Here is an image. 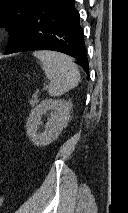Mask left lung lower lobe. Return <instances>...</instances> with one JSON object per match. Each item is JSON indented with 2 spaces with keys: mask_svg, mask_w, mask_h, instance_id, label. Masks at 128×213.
Listing matches in <instances>:
<instances>
[{
  "mask_svg": "<svg viewBox=\"0 0 128 213\" xmlns=\"http://www.w3.org/2000/svg\"><path fill=\"white\" fill-rule=\"evenodd\" d=\"M79 20L74 0H38L4 54L30 50L59 51L76 58L89 74Z\"/></svg>",
  "mask_w": 128,
  "mask_h": 213,
  "instance_id": "1",
  "label": "left lung lower lobe"
}]
</instances>
